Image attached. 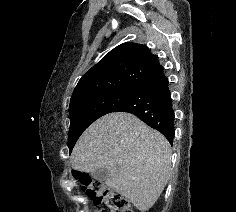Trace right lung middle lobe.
Listing matches in <instances>:
<instances>
[{
	"label": "right lung middle lobe",
	"instance_id": "obj_1",
	"mask_svg": "<svg viewBox=\"0 0 236 212\" xmlns=\"http://www.w3.org/2000/svg\"><path fill=\"white\" fill-rule=\"evenodd\" d=\"M133 88H122L98 93L70 102L68 146L71 152L83 131L101 116L114 112L131 94Z\"/></svg>",
	"mask_w": 236,
	"mask_h": 212
}]
</instances>
